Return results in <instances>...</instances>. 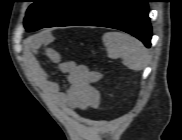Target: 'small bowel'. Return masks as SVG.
<instances>
[{"instance_id": "obj_1", "label": "small bowel", "mask_w": 182, "mask_h": 140, "mask_svg": "<svg viewBox=\"0 0 182 140\" xmlns=\"http://www.w3.org/2000/svg\"><path fill=\"white\" fill-rule=\"evenodd\" d=\"M46 56L68 76L67 86L61 89L57 82L49 79L41 65L32 60L30 63L32 76L45 93L69 111L96 108L99 105L100 93L94 84L101 79V73L74 61H62L60 53L55 50H47Z\"/></svg>"}]
</instances>
